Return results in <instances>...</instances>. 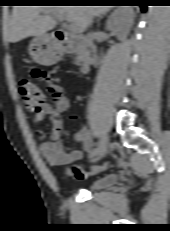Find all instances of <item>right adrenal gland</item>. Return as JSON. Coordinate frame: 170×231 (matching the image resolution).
Wrapping results in <instances>:
<instances>
[{"label":"right adrenal gland","instance_id":"2a0ac1e0","mask_svg":"<svg viewBox=\"0 0 170 231\" xmlns=\"http://www.w3.org/2000/svg\"><path fill=\"white\" fill-rule=\"evenodd\" d=\"M104 15H106V13H104L103 15H101V16L99 17L98 22H99L100 19L103 18Z\"/></svg>","mask_w":170,"mask_h":231}]
</instances>
